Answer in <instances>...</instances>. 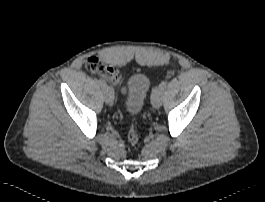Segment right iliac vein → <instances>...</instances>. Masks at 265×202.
Instances as JSON below:
<instances>
[{"label":"right iliac vein","instance_id":"right-iliac-vein-1","mask_svg":"<svg viewBox=\"0 0 265 202\" xmlns=\"http://www.w3.org/2000/svg\"><path fill=\"white\" fill-rule=\"evenodd\" d=\"M103 97L107 104H112L114 101V90L110 86L103 88Z\"/></svg>","mask_w":265,"mask_h":202}]
</instances>
